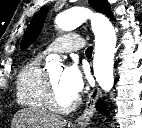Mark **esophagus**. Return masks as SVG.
<instances>
[{
    "label": "esophagus",
    "instance_id": "1",
    "mask_svg": "<svg viewBox=\"0 0 142 128\" xmlns=\"http://www.w3.org/2000/svg\"><path fill=\"white\" fill-rule=\"evenodd\" d=\"M102 96L101 89L96 85L88 95L83 113L75 120L74 128H86L96 112V102Z\"/></svg>",
    "mask_w": 142,
    "mask_h": 128
}]
</instances>
